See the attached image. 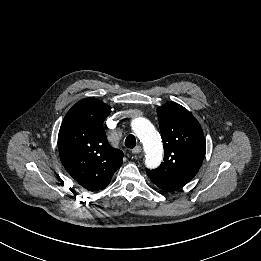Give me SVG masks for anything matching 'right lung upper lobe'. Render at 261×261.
<instances>
[{
    "instance_id": "right-lung-upper-lobe-1",
    "label": "right lung upper lobe",
    "mask_w": 261,
    "mask_h": 261,
    "mask_svg": "<svg viewBox=\"0 0 261 261\" xmlns=\"http://www.w3.org/2000/svg\"><path fill=\"white\" fill-rule=\"evenodd\" d=\"M111 107L89 97L66 114L58 135L60 159L66 171L83 188H105L122 165L124 154L107 141L103 122Z\"/></svg>"
}]
</instances>
